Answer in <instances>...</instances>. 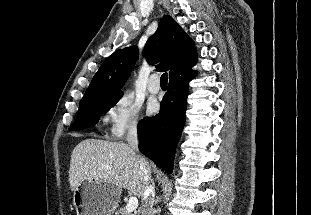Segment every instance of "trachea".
<instances>
[{
	"mask_svg": "<svg viewBox=\"0 0 311 215\" xmlns=\"http://www.w3.org/2000/svg\"><path fill=\"white\" fill-rule=\"evenodd\" d=\"M167 82H168V74L163 73L161 78H160V83H161V85H167Z\"/></svg>",
	"mask_w": 311,
	"mask_h": 215,
	"instance_id": "trachea-1",
	"label": "trachea"
}]
</instances>
